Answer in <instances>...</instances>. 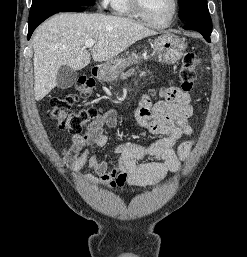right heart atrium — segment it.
Instances as JSON below:
<instances>
[{"mask_svg":"<svg viewBox=\"0 0 247 257\" xmlns=\"http://www.w3.org/2000/svg\"><path fill=\"white\" fill-rule=\"evenodd\" d=\"M111 0H99V5L101 8H107L110 5Z\"/></svg>","mask_w":247,"mask_h":257,"instance_id":"obj_1","label":"right heart atrium"}]
</instances>
